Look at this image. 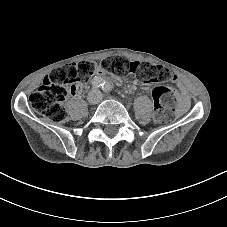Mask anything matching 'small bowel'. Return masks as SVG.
<instances>
[{
    "mask_svg": "<svg viewBox=\"0 0 227 227\" xmlns=\"http://www.w3.org/2000/svg\"><path fill=\"white\" fill-rule=\"evenodd\" d=\"M95 73L97 75H103L105 73V71L102 70L99 66H97L96 69H95ZM172 81L180 85L178 77L176 75L173 76ZM81 90H82V87L79 86L78 89L76 90V92L73 93V95L79 94ZM180 102H181L182 105H185L186 102H187V95H186V93L183 89H182V92H181V95H180Z\"/></svg>",
    "mask_w": 227,
    "mask_h": 227,
    "instance_id": "small-bowel-1",
    "label": "small bowel"
}]
</instances>
